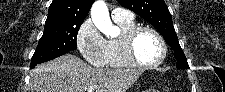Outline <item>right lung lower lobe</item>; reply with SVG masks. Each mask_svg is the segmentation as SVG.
<instances>
[{
    "label": "right lung lower lobe",
    "instance_id": "obj_1",
    "mask_svg": "<svg viewBox=\"0 0 225 92\" xmlns=\"http://www.w3.org/2000/svg\"><path fill=\"white\" fill-rule=\"evenodd\" d=\"M36 65H32V66H30V68H34Z\"/></svg>",
    "mask_w": 225,
    "mask_h": 92
}]
</instances>
